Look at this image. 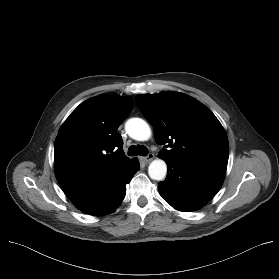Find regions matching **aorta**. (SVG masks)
<instances>
[{
    "instance_id": "762f6f07",
    "label": "aorta",
    "mask_w": 279,
    "mask_h": 279,
    "mask_svg": "<svg viewBox=\"0 0 279 279\" xmlns=\"http://www.w3.org/2000/svg\"><path fill=\"white\" fill-rule=\"evenodd\" d=\"M125 130L132 139L137 141H147L152 134L148 123L141 118L127 120ZM148 174L153 180H164L167 174L166 162L162 159L153 160L148 167Z\"/></svg>"
}]
</instances>
